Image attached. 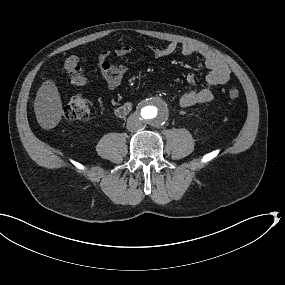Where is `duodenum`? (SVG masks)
<instances>
[{"instance_id": "1", "label": "duodenum", "mask_w": 285, "mask_h": 285, "mask_svg": "<svg viewBox=\"0 0 285 285\" xmlns=\"http://www.w3.org/2000/svg\"><path fill=\"white\" fill-rule=\"evenodd\" d=\"M131 105L129 103L123 104L116 108L115 112L118 116L123 117L129 113Z\"/></svg>"}]
</instances>
